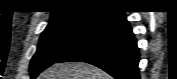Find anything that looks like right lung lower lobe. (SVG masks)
I'll use <instances>...</instances> for the list:
<instances>
[{"mask_svg":"<svg viewBox=\"0 0 177 79\" xmlns=\"http://www.w3.org/2000/svg\"><path fill=\"white\" fill-rule=\"evenodd\" d=\"M59 62L93 64L115 79H140L139 52L129 22L123 12L105 14L100 23Z\"/></svg>","mask_w":177,"mask_h":79,"instance_id":"right-lung-lower-lobe-1","label":"right lung lower lobe"}]
</instances>
